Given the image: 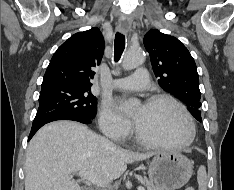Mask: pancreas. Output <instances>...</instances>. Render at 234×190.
I'll return each mask as SVG.
<instances>
[{
	"mask_svg": "<svg viewBox=\"0 0 234 190\" xmlns=\"http://www.w3.org/2000/svg\"><path fill=\"white\" fill-rule=\"evenodd\" d=\"M138 179L147 188V190H161L159 187L150 182L146 177H138Z\"/></svg>",
	"mask_w": 234,
	"mask_h": 190,
	"instance_id": "pancreas-1",
	"label": "pancreas"
}]
</instances>
